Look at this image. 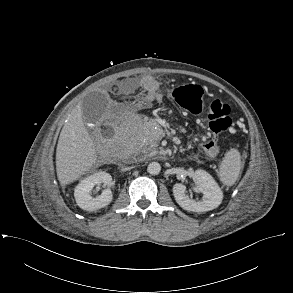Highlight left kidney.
Here are the masks:
<instances>
[{
    "label": "left kidney",
    "mask_w": 293,
    "mask_h": 293,
    "mask_svg": "<svg viewBox=\"0 0 293 293\" xmlns=\"http://www.w3.org/2000/svg\"><path fill=\"white\" fill-rule=\"evenodd\" d=\"M193 178L198 190L203 194L202 201L190 199L185 194L186 186L176 183L173 186V195L179 206L192 212H206L217 208L222 202L223 193L214 178L201 169L195 171Z\"/></svg>",
    "instance_id": "left-kidney-1"
}]
</instances>
